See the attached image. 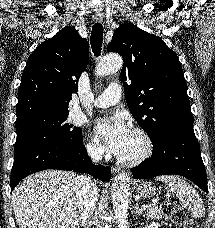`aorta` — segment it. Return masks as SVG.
<instances>
[{"label": "aorta", "mask_w": 215, "mask_h": 228, "mask_svg": "<svg viewBox=\"0 0 215 228\" xmlns=\"http://www.w3.org/2000/svg\"><path fill=\"white\" fill-rule=\"evenodd\" d=\"M122 66L123 58L121 56L109 54L107 58H103L98 64L96 74L97 76H107V74H113V72L121 70ZM111 198L117 228H129L127 218L130 198V176L128 174H117L115 176Z\"/></svg>", "instance_id": "1"}]
</instances>
